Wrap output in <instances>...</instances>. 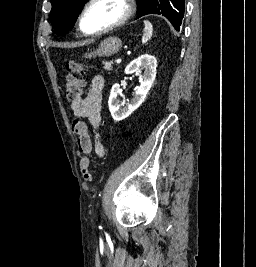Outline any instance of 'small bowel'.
Masks as SVG:
<instances>
[{
	"mask_svg": "<svg viewBox=\"0 0 256 267\" xmlns=\"http://www.w3.org/2000/svg\"><path fill=\"white\" fill-rule=\"evenodd\" d=\"M104 87V78L101 75H95L92 77L89 86L86 89L84 95L75 99L71 103L74 116L76 118H86L94 132V144L92 143L91 137L88 138V153L94 149L97 156L102 157L105 149L101 141L100 127H101V99L102 90ZM80 143V140H79ZM80 148L83 152L80 143Z\"/></svg>",
	"mask_w": 256,
	"mask_h": 267,
	"instance_id": "obj_1",
	"label": "small bowel"
}]
</instances>
